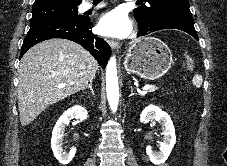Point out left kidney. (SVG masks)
<instances>
[{
    "mask_svg": "<svg viewBox=\"0 0 227 166\" xmlns=\"http://www.w3.org/2000/svg\"><path fill=\"white\" fill-rule=\"evenodd\" d=\"M150 120H156L162 125L163 142L160 145L159 152H154L151 146H147L146 153L153 164L162 165L176 143L175 128L168 113L155 105L147 106L140 114L141 123L146 124Z\"/></svg>",
    "mask_w": 227,
    "mask_h": 166,
    "instance_id": "1",
    "label": "left kidney"
}]
</instances>
